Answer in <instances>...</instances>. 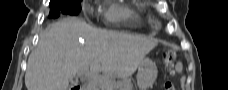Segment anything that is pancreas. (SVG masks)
<instances>
[{
  "label": "pancreas",
  "instance_id": "1",
  "mask_svg": "<svg viewBox=\"0 0 228 90\" xmlns=\"http://www.w3.org/2000/svg\"><path fill=\"white\" fill-rule=\"evenodd\" d=\"M111 85L110 80L105 77H100L97 79H93L88 87L90 90H98L100 87H109ZM132 84L129 80H122L120 82H116L114 84L115 90H132Z\"/></svg>",
  "mask_w": 228,
  "mask_h": 90
}]
</instances>
